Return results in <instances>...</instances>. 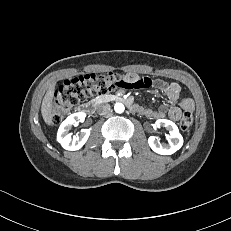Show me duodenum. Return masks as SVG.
Returning <instances> with one entry per match:
<instances>
[{
    "label": "duodenum",
    "instance_id": "410a0bca",
    "mask_svg": "<svg viewBox=\"0 0 231 231\" xmlns=\"http://www.w3.org/2000/svg\"><path fill=\"white\" fill-rule=\"evenodd\" d=\"M103 100H113V101H117V102H123L131 110H133V111H138L139 110V106L136 105L131 98L125 97L123 95L106 96V97H103L100 101H103ZM96 105H97V102L84 104L79 108V111H81L83 113H86V114H92L95 111Z\"/></svg>",
    "mask_w": 231,
    "mask_h": 231
}]
</instances>
